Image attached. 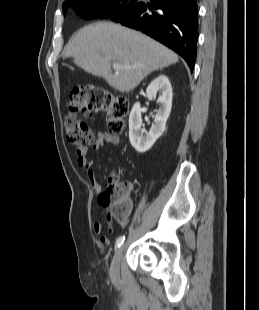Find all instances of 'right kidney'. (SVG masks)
<instances>
[{"instance_id":"1","label":"right kidney","mask_w":259,"mask_h":310,"mask_svg":"<svg viewBox=\"0 0 259 310\" xmlns=\"http://www.w3.org/2000/svg\"><path fill=\"white\" fill-rule=\"evenodd\" d=\"M159 92L160 109L157 111L154 124L149 132L142 128L141 106L134 104L129 116V140L139 153L148 151L166 129V122L172 107V87L167 76L160 75L154 79L146 89L148 99H153Z\"/></svg>"}]
</instances>
